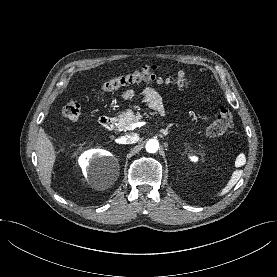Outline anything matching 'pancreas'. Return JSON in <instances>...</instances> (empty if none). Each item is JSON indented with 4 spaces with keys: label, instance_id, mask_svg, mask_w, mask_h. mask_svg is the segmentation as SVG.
Segmentation results:
<instances>
[{
    "label": "pancreas",
    "instance_id": "obj_1",
    "mask_svg": "<svg viewBox=\"0 0 277 277\" xmlns=\"http://www.w3.org/2000/svg\"><path fill=\"white\" fill-rule=\"evenodd\" d=\"M141 119L142 115L140 113L135 114L131 109H127L118 116L117 128L121 131L131 130V125Z\"/></svg>",
    "mask_w": 277,
    "mask_h": 277
}]
</instances>
